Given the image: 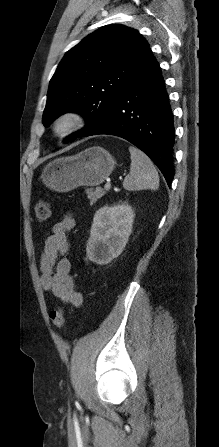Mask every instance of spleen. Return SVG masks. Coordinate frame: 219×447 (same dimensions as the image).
Returning <instances> with one entry per match:
<instances>
[{"instance_id": "obj_1", "label": "spleen", "mask_w": 219, "mask_h": 447, "mask_svg": "<svg viewBox=\"0 0 219 447\" xmlns=\"http://www.w3.org/2000/svg\"><path fill=\"white\" fill-rule=\"evenodd\" d=\"M131 154L130 174L125 177L123 187L128 191L159 187V176L152 161L136 147H129Z\"/></svg>"}]
</instances>
